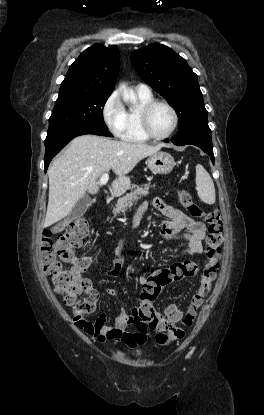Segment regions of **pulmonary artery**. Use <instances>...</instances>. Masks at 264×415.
I'll list each match as a JSON object with an SVG mask.
<instances>
[{
	"label": "pulmonary artery",
	"mask_w": 264,
	"mask_h": 415,
	"mask_svg": "<svg viewBox=\"0 0 264 415\" xmlns=\"http://www.w3.org/2000/svg\"><path fill=\"white\" fill-rule=\"evenodd\" d=\"M135 89H136L137 92H140V93H144V94L151 93V90H150L149 86L146 85V84H138L135 87Z\"/></svg>",
	"instance_id": "obj_1"
}]
</instances>
